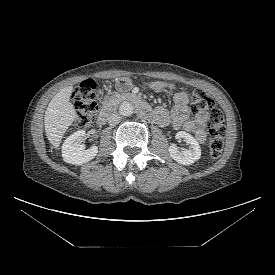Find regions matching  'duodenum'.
<instances>
[{"mask_svg": "<svg viewBox=\"0 0 275 275\" xmlns=\"http://www.w3.org/2000/svg\"><path fill=\"white\" fill-rule=\"evenodd\" d=\"M124 100L133 103L142 117H150L153 115L150 105L145 102L141 97L135 94H127L124 96ZM112 111L111 106H105L97 116L96 123L98 125H104Z\"/></svg>", "mask_w": 275, "mask_h": 275, "instance_id": "410a0bca", "label": "duodenum"}]
</instances>
